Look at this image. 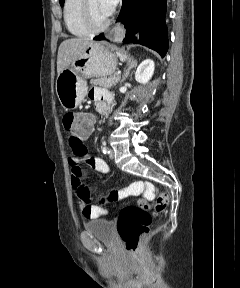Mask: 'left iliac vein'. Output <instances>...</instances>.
Masks as SVG:
<instances>
[{"mask_svg":"<svg viewBox=\"0 0 240 288\" xmlns=\"http://www.w3.org/2000/svg\"><path fill=\"white\" fill-rule=\"evenodd\" d=\"M114 156H115L114 151H113V150H110L109 158H110V159H114Z\"/></svg>","mask_w":240,"mask_h":288,"instance_id":"obj_1","label":"left iliac vein"}]
</instances>
